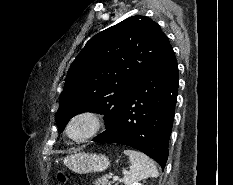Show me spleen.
Listing matches in <instances>:
<instances>
[{"label":"spleen","instance_id":"1","mask_svg":"<svg viewBox=\"0 0 233 185\" xmlns=\"http://www.w3.org/2000/svg\"><path fill=\"white\" fill-rule=\"evenodd\" d=\"M124 154L129 157L130 160V171L124 176L125 185H133L140 180L153 177L157 178L159 173L154 162L145 154L126 149Z\"/></svg>","mask_w":233,"mask_h":185}]
</instances>
